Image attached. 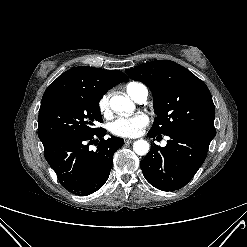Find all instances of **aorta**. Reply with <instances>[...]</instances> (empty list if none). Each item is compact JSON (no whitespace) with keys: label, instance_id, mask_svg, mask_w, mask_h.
Instances as JSON below:
<instances>
[{"label":"aorta","instance_id":"762f6f07","mask_svg":"<svg viewBox=\"0 0 247 247\" xmlns=\"http://www.w3.org/2000/svg\"><path fill=\"white\" fill-rule=\"evenodd\" d=\"M110 107L117 113L130 112L134 110V104L127 97L116 95L110 99ZM149 143L146 140H137L133 150L137 155H146L149 152Z\"/></svg>","mask_w":247,"mask_h":247}]
</instances>
